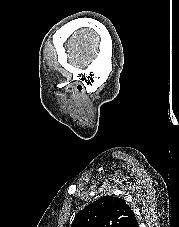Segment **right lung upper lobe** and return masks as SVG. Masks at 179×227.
<instances>
[{"instance_id":"right-lung-upper-lobe-1","label":"right lung upper lobe","mask_w":179,"mask_h":227,"mask_svg":"<svg viewBox=\"0 0 179 227\" xmlns=\"http://www.w3.org/2000/svg\"><path fill=\"white\" fill-rule=\"evenodd\" d=\"M71 227H138V222L123 199L104 196L77 213Z\"/></svg>"}]
</instances>
